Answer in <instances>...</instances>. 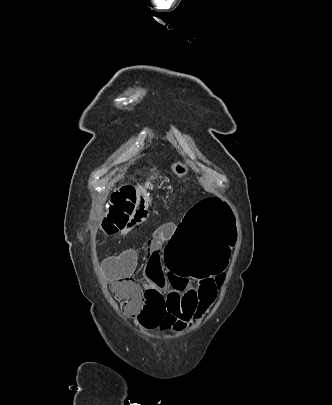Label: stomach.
I'll use <instances>...</instances> for the list:
<instances>
[{
	"label": "stomach",
	"instance_id": "0dacf381",
	"mask_svg": "<svg viewBox=\"0 0 332 405\" xmlns=\"http://www.w3.org/2000/svg\"><path fill=\"white\" fill-rule=\"evenodd\" d=\"M171 169L179 177L186 175L188 172V167L181 162H175L172 164Z\"/></svg>",
	"mask_w": 332,
	"mask_h": 405
}]
</instances>
